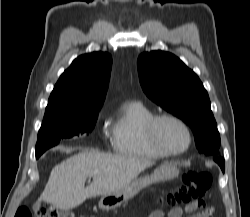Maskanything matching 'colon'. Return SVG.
Here are the masks:
<instances>
[{
	"label": "colon",
	"instance_id": "5ec220e1",
	"mask_svg": "<svg viewBox=\"0 0 250 217\" xmlns=\"http://www.w3.org/2000/svg\"><path fill=\"white\" fill-rule=\"evenodd\" d=\"M212 176L206 171H187L182 176L181 185L166 197L168 205L176 207L181 204L195 205L200 212H206L211 217V208L205 207L202 198L209 189ZM15 217H73L58 208H42L32 212L27 207H20Z\"/></svg>",
	"mask_w": 250,
	"mask_h": 217
}]
</instances>
